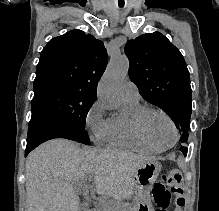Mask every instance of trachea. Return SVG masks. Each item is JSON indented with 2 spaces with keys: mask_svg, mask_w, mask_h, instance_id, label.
<instances>
[{
  "mask_svg": "<svg viewBox=\"0 0 219 211\" xmlns=\"http://www.w3.org/2000/svg\"><path fill=\"white\" fill-rule=\"evenodd\" d=\"M124 5H119V7H123Z\"/></svg>",
  "mask_w": 219,
  "mask_h": 211,
  "instance_id": "trachea-1",
  "label": "trachea"
}]
</instances>
